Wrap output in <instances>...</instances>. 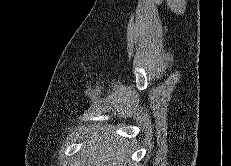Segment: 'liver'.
I'll use <instances>...</instances> for the list:
<instances>
[{
    "instance_id": "1",
    "label": "liver",
    "mask_w": 231,
    "mask_h": 166,
    "mask_svg": "<svg viewBox=\"0 0 231 166\" xmlns=\"http://www.w3.org/2000/svg\"><path fill=\"white\" fill-rule=\"evenodd\" d=\"M107 130L92 133L80 151L84 166H134L128 159L129 142L110 136Z\"/></svg>"
}]
</instances>
